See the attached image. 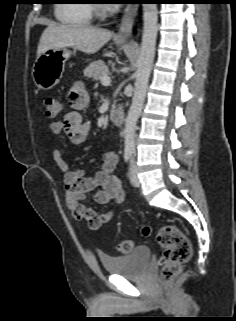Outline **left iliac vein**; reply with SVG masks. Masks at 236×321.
<instances>
[{
    "mask_svg": "<svg viewBox=\"0 0 236 321\" xmlns=\"http://www.w3.org/2000/svg\"><path fill=\"white\" fill-rule=\"evenodd\" d=\"M129 180L134 187L140 186V180L137 176V169L134 164V161H131V165H130V169H129Z\"/></svg>",
    "mask_w": 236,
    "mask_h": 321,
    "instance_id": "1",
    "label": "left iliac vein"
}]
</instances>
